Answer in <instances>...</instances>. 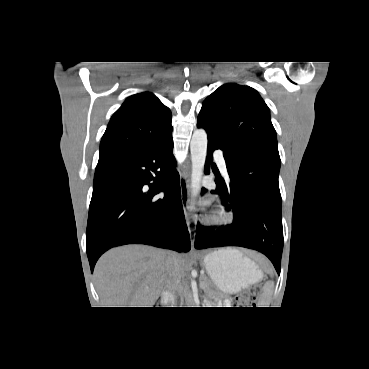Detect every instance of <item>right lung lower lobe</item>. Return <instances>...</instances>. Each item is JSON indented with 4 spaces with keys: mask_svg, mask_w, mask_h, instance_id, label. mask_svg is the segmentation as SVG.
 I'll return each mask as SVG.
<instances>
[{
    "mask_svg": "<svg viewBox=\"0 0 369 369\" xmlns=\"http://www.w3.org/2000/svg\"><path fill=\"white\" fill-rule=\"evenodd\" d=\"M172 148L171 135L96 168L86 232L91 272L98 258L116 246L191 249Z\"/></svg>",
    "mask_w": 369,
    "mask_h": 369,
    "instance_id": "right-lung-lower-lobe-1",
    "label": "right lung lower lobe"
}]
</instances>
